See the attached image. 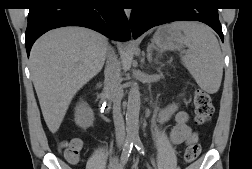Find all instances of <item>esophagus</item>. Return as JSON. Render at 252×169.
Returning <instances> with one entry per match:
<instances>
[{"instance_id": "obj_1", "label": "esophagus", "mask_w": 252, "mask_h": 169, "mask_svg": "<svg viewBox=\"0 0 252 169\" xmlns=\"http://www.w3.org/2000/svg\"><path fill=\"white\" fill-rule=\"evenodd\" d=\"M125 13H126L127 17L129 18V17H130V14H131V10H130V9H126V10H125Z\"/></svg>"}]
</instances>
